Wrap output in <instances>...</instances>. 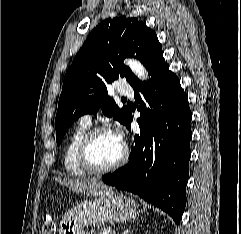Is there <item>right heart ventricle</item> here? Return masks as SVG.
I'll return each mask as SVG.
<instances>
[{"mask_svg": "<svg viewBox=\"0 0 241 234\" xmlns=\"http://www.w3.org/2000/svg\"><path fill=\"white\" fill-rule=\"evenodd\" d=\"M89 129L90 124L79 122L66 141L63 157L64 167L70 175L75 177H82L87 173L80 166L77 154L79 144Z\"/></svg>", "mask_w": 241, "mask_h": 234, "instance_id": "1", "label": "right heart ventricle"}]
</instances>
